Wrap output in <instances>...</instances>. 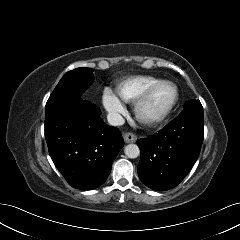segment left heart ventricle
I'll return each mask as SVG.
<instances>
[{
    "instance_id": "obj_1",
    "label": "left heart ventricle",
    "mask_w": 240,
    "mask_h": 240,
    "mask_svg": "<svg viewBox=\"0 0 240 240\" xmlns=\"http://www.w3.org/2000/svg\"><path fill=\"white\" fill-rule=\"evenodd\" d=\"M175 97V89L172 86L159 88L143 107V113L147 116H156L164 112Z\"/></svg>"
}]
</instances>
